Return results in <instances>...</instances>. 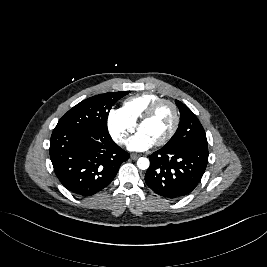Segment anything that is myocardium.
<instances>
[{"label": "myocardium", "mask_w": 267, "mask_h": 267, "mask_svg": "<svg viewBox=\"0 0 267 267\" xmlns=\"http://www.w3.org/2000/svg\"><path fill=\"white\" fill-rule=\"evenodd\" d=\"M163 105H168L171 107L172 111H173V116H174V121H173V125L170 129V131L168 132V134L163 137L161 140H159L158 142L155 143L156 146H162L165 145L166 143H168L176 134L179 125H180V114H179V110L177 105L168 99H160L156 102H154L146 111L145 113L141 116V118L138 120L137 122V129L139 130V128L141 127L142 124H144L145 122H147L148 120H150L155 113L163 106Z\"/></svg>", "instance_id": "1"}]
</instances>
